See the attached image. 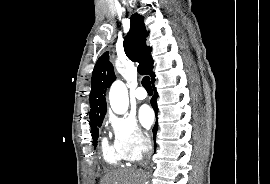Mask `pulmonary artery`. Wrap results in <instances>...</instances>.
I'll use <instances>...</instances> for the list:
<instances>
[{"label":"pulmonary artery","instance_id":"pulmonary-artery-1","mask_svg":"<svg viewBox=\"0 0 270 184\" xmlns=\"http://www.w3.org/2000/svg\"><path fill=\"white\" fill-rule=\"evenodd\" d=\"M134 95L138 100H144L147 97V93H146V91L144 90L143 87H138L135 90Z\"/></svg>","mask_w":270,"mask_h":184}]
</instances>
